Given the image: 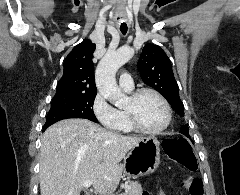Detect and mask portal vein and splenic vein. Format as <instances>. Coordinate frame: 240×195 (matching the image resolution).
<instances>
[{
    "label": "portal vein and splenic vein",
    "mask_w": 240,
    "mask_h": 195,
    "mask_svg": "<svg viewBox=\"0 0 240 195\" xmlns=\"http://www.w3.org/2000/svg\"><path fill=\"white\" fill-rule=\"evenodd\" d=\"M91 183H93V181H83L82 185L83 187H90Z\"/></svg>",
    "instance_id": "18ae733b"
}]
</instances>
